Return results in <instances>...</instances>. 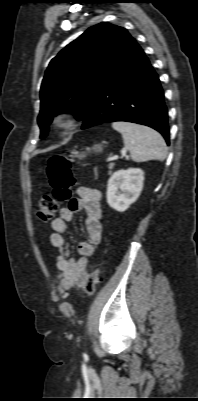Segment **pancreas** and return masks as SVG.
<instances>
[{
    "label": "pancreas",
    "mask_w": 198,
    "mask_h": 401,
    "mask_svg": "<svg viewBox=\"0 0 198 401\" xmlns=\"http://www.w3.org/2000/svg\"><path fill=\"white\" fill-rule=\"evenodd\" d=\"M113 167H114V164H109V165H108V168H109V174L111 173V170L113 169Z\"/></svg>",
    "instance_id": "obj_1"
}]
</instances>
